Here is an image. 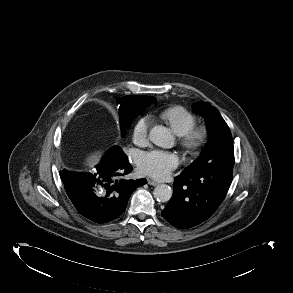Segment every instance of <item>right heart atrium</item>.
<instances>
[{
    "label": "right heart atrium",
    "instance_id": "d8ad5b80",
    "mask_svg": "<svg viewBox=\"0 0 293 293\" xmlns=\"http://www.w3.org/2000/svg\"><path fill=\"white\" fill-rule=\"evenodd\" d=\"M151 123L152 120L149 116H142L135 122L132 130V136L135 143L143 144L147 141Z\"/></svg>",
    "mask_w": 293,
    "mask_h": 293
}]
</instances>
